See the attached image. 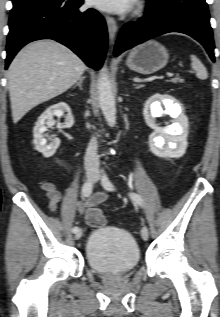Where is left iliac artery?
I'll return each instance as SVG.
<instances>
[{
    "label": "left iliac artery",
    "mask_w": 220,
    "mask_h": 317,
    "mask_svg": "<svg viewBox=\"0 0 220 317\" xmlns=\"http://www.w3.org/2000/svg\"><path fill=\"white\" fill-rule=\"evenodd\" d=\"M102 186L108 191L115 190L114 185L112 184V182L110 181V179L108 178V176L105 173L102 176ZM129 196L133 202L137 203L140 206L143 205V200L138 194L130 193Z\"/></svg>",
    "instance_id": "1"
}]
</instances>
